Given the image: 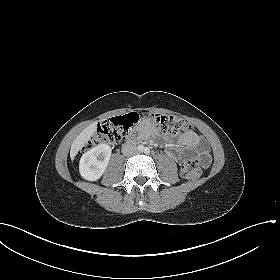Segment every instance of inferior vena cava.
Instances as JSON below:
<instances>
[{
    "label": "inferior vena cava",
    "instance_id": "obj_1",
    "mask_svg": "<svg viewBox=\"0 0 280 280\" xmlns=\"http://www.w3.org/2000/svg\"><path fill=\"white\" fill-rule=\"evenodd\" d=\"M138 152L136 146L134 145H131V144H127L125 146H123L122 148V153L123 155L125 156H131V155H134Z\"/></svg>",
    "mask_w": 280,
    "mask_h": 280
}]
</instances>
